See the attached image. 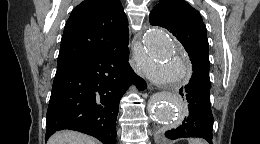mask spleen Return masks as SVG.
<instances>
[{
	"label": "spleen",
	"instance_id": "obj_1",
	"mask_svg": "<svg viewBox=\"0 0 260 144\" xmlns=\"http://www.w3.org/2000/svg\"><path fill=\"white\" fill-rule=\"evenodd\" d=\"M189 144H207V143L202 139H190Z\"/></svg>",
	"mask_w": 260,
	"mask_h": 144
}]
</instances>
